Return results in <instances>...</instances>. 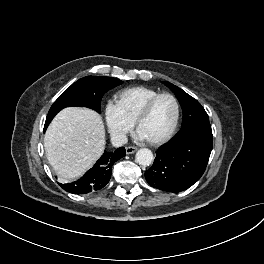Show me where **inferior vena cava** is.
Returning <instances> with one entry per match:
<instances>
[{
  "mask_svg": "<svg viewBox=\"0 0 264 264\" xmlns=\"http://www.w3.org/2000/svg\"><path fill=\"white\" fill-rule=\"evenodd\" d=\"M111 142L115 147H121L127 143V137L123 133H113L111 135Z\"/></svg>",
  "mask_w": 264,
  "mask_h": 264,
  "instance_id": "inferior-vena-cava-1",
  "label": "inferior vena cava"
}]
</instances>
